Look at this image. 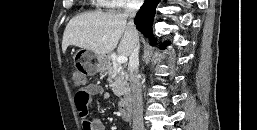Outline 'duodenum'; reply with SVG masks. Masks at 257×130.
I'll return each instance as SVG.
<instances>
[{
    "mask_svg": "<svg viewBox=\"0 0 257 130\" xmlns=\"http://www.w3.org/2000/svg\"><path fill=\"white\" fill-rule=\"evenodd\" d=\"M119 111L124 119H129L132 112L131 95L126 93L119 102Z\"/></svg>",
    "mask_w": 257,
    "mask_h": 130,
    "instance_id": "obj_1",
    "label": "duodenum"
}]
</instances>
